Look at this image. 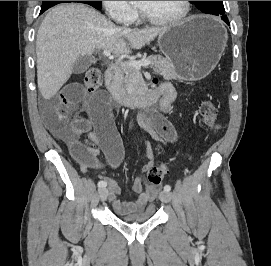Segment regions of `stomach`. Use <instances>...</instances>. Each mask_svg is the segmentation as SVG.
<instances>
[{"label": "stomach", "instance_id": "stomach-1", "mask_svg": "<svg viewBox=\"0 0 271 266\" xmlns=\"http://www.w3.org/2000/svg\"><path fill=\"white\" fill-rule=\"evenodd\" d=\"M227 39V31L219 21L193 16L166 28L158 36V45L174 66V78L197 81L216 67Z\"/></svg>", "mask_w": 271, "mask_h": 266}]
</instances>
